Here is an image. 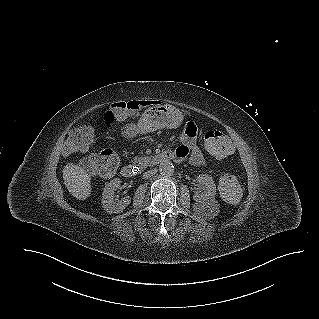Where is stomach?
<instances>
[{
    "label": "stomach",
    "mask_w": 319,
    "mask_h": 319,
    "mask_svg": "<svg viewBox=\"0 0 319 319\" xmlns=\"http://www.w3.org/2000/svg\"><path fill=\"white\" fill-rule=\"evenodd\" d=\"M183 119L184 116L178 108L164 104L142 111L133 124L141 129L142 137H147L159 132L162 128H178Z\"/></svg>",
    "instance_id": "0dacf381"
}]
</instances>
